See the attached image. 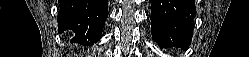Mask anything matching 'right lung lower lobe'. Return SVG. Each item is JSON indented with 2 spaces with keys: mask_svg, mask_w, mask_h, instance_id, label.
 <instances>
[{
  "mask_svg": "<svg viewBox=\"0 0 249 57\" xmlns=\"http://www.w3.org/2000/svg\"><path fill=\"white\" fill-rule=\"evenodd\" d=\"M108 0H59V30H73V41L92 45L100 40L108 17Z\"/></svg>",
  "mask_w": 249,
  "mask_h": 57,
  "instance_id": "98d812e1",
  "label": "right lung lower lobe"
}]
</instances>
